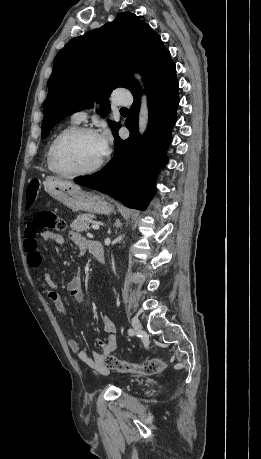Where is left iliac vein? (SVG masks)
Masks as SVG:
<instances>
[{"instance_id":"obj_1","label":"left iliac vein","mask_w":261,"mask_h":459,"mask_svg":"<svg viewBox=\"0 0 261 459\" xmlns=\"http://www.w3.org/2000/svg\"><path fill=\"white\" fill-rule=\"evenodd\" d=\"M132 326H133L135 331H137V332H141L142 331V325H141V323H140L138 318L134 317L132 319Z\"/></svg>"}]
</instances>
